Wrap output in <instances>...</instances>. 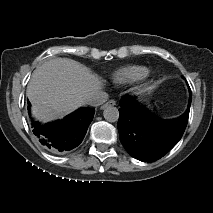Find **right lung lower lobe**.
<instances>
[{"mask_svg":"<svg viewBox=\"0 0 213 213\" xmlns=\"http://www.w3.org/2000/svg\"><path fill=\"white\" fill-rule=\"evenodd\" d=\"M94 112L93 108H80L63 120L44 125L32 121L33 133L43 145L52 150H71L82 142Z\"/></svg>","mask_w":213,"mask_h":213,"instance_id":"1","label":"right lung lower lobe"}]
</instances>
